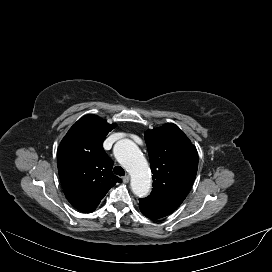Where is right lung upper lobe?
Returning <instances> with one entry per match:
<instances>
[{
  "label": "right lung upper lobe",
  "mask_w": 272,
  "mask_h": 272,
  "mask_svg": "<svg viewBox=\"0 0 272 272\" xmlns=\"http://www.w3.org/2000/svg\"><path fill=\"white\" fill-rule=\"evenodd\" d=\"M115 127L96 115H87L70 128L59 145L57 165L65 196L83 213L93 212L107 191L122 182L113 174V161L102 146Z\"/></svg>",
  "instance_id": "obj_1"
}]
</instances>
